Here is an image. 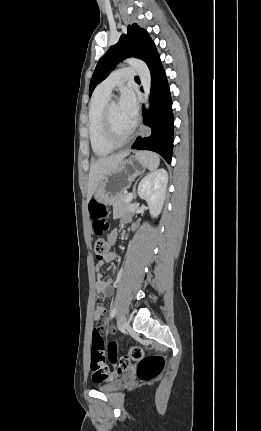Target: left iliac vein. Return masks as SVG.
<instances>
[{
  "mask_svg": "<svg viewBox=\"0 0 261 431\" xmlns=\"http://www.w3.org/2000/svg\"><path fill=\"white\" fill-rule=\"evenodd\" d=\"M126 323H127V317H126V314H125V313H122V314L119 316V319H118V327H119V328H123V327H125Z\"/></svg>",
  "mask_w": 261,
  "mask_h": 431,
  "instance_id": "obj_1",
  "label": "left iliac vein"
}]
</instances>
